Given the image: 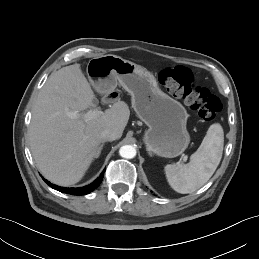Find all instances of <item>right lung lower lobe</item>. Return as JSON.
I'll use <instances>...</instances> for the list:
<instances>
[{"instance_id": "obj_1", "label": "right lung lower lobe", "mask_w": 259, "mask_h": 259, "mask_svg": "<svg viewBox=\"0 0 259 259\" xmlns=\"http://www.w3.org/2000/svg\"><path fill=\"white\" fill-rule=\"evenodd\" d=\"M104 172L105 170L101 173V175L99 176L98 179H96L93 183H91L90 185L84 186V187H79V188H65V187H60L57 185H54L52 183H50L49 181H47L46 179L43 178V180L53 189L60 191L62 193H66V194H72V195H86L90 192H92L93 190H95L101 183L103 177H104Z\"/></svg>"}]
</instances>
